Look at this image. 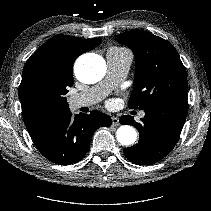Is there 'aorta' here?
<instances>
[{
    "instance_id": "762f6f07",
    "label": "aorta",
    "mask_w": 211,
    "mask_h": 211,
    "mask_svg": "<svg viewBox=\"0 0 211 211\" xmlns=\"http://www.w3.org/2000/svg\"><path fill=\"white\" fill-rule=\"evenodd\" d=\"M77 79L83 83H95L103 78L106 72V63L96 54L80 56L74 66ZM117 141L122 145H131L136 141L137 132L129 125H122L116 132Z\"/></svg>"
}]
</instances>
